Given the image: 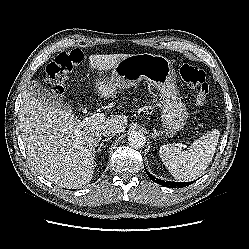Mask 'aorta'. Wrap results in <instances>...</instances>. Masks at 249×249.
Wrapping results in <instances>:
<instances>
[{
	"mask_svg": "<svg viewBox=\"0 0 249 249\" xmlns=\"http://www.w3.org/2000/svg\"><path fill=\"white\" fill-rule=\"evenodd\" d=\"M128 143L131 147L135 149H140L144 147L146 143V137L143 133L134 131L128 136Z\"/></svg>",
	"mask_w": 249,
	"mask_h": 249,
	"instance_id": "1",
	"label": "aorta"
}]
</instances>
